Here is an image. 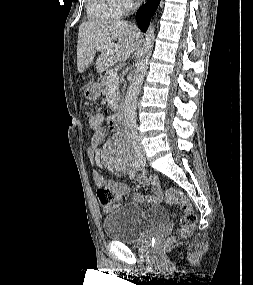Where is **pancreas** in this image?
Here are the masks:
<instances>
[{
	"label": "pancreas",
	"mask_w": 253,
	"mask_h": 285,
	"mask_svg": "<svg viewBox=\"0 0 253 285\" xmlns=\"http://www.w3.org/2000/svg\"><path fill=\"white\" fill-rule=\"evenodd\" d=\"M116 73H117L116 69H110L105 73L104 77L101 79L100 86L102 87L103 94L107 93L108 88L110 87L109 80ZM116 86H118V84ZM122 92H123V90H122ZM121 97H122V95L119 92H117L116 93L117 100H120Z\"/></svg>",
	"instance_id": "obj_1"
}]
</instances>
